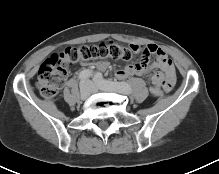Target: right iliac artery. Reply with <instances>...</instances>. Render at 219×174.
Returning a JSON list of instances; mask_svg holds the SVG:
<instances>
[{
	"mask_svg": "<svg viewBox=\"0 0 219 174\" xmlns=\"http://www.w3.org/2000/svg\"><path fill=\"white\" fill-rule=\"evenodd\" d=\"M91 75H92V71H90V70H83L79 74V79H80V81H85Z\"/></svg>",
	"mask_w": 219,
	"mask_h": 174,
	"instance_id": "right-iliac-artery-1",
	"label": "right iliac artery"
}]
</instances>
